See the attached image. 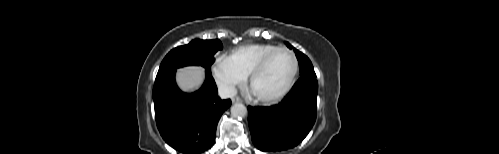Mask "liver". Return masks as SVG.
I'll use <instances>...</instances> for the list:
<instances>
[{"label":"liver","mask_w":499,"mask_h":154,"mask_svg":"<svg viewBox=\"0 0 499 154\" xmlns=\"http://www.w3.org/2000/svg\"><path fill=\"white\" fill-rule=\"evenodd\" d=\"M176 81L179 88L184 92L197 90L204 81V68L199 66H188L177 70Z\"/></svg>","instance_id":"obj_1"}]
</instances>
